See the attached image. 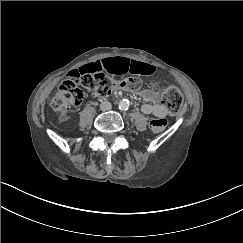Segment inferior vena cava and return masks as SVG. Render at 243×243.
<instances>
[{
  "mask_svg": "<svg viewBox=\"0 0 243 243\" xmlns=\"http://www.w3.org/2000/svg\"><path fill=\"white\" fill-rule=\"evenodd\" d=\"M111 102H109V101H103V102H101V104H100V108L102 109V110H110V108H111Z\"/></svg>",
  "mask_w": 243,
  "mask_h": 243,
  "instance_id": "obj_1",
  "label": "inferior vena cava"
}]
</instances>
